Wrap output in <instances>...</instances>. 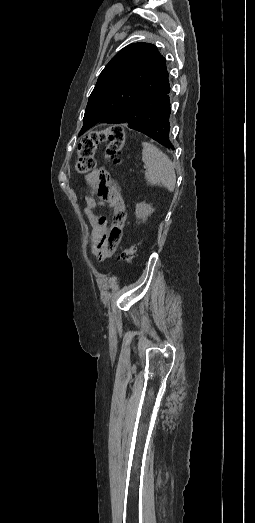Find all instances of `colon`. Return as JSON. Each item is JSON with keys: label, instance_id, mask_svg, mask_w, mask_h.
<instances>
[{"label": "colon", "instance_id": "colon-1", "mask_svg": "<svg viewBox=\"0 0 255 523\" xmlns=\"http://www.w3.org/2000/svg\"><path fill=\"white\" fill-rule=\"evenodd\" d=\"M125 143V131L117 125L92 131L86 135L78 144V160L76 171L79 174H86L96 166L95 153L101 144H106L105 157L114 165L119 163V154ZM137 255L135 246L124 248L119 254L118 259L124 263H131Z\"/></svg>", "mask_w": 255, "mask_h": 523}]
</instances>
